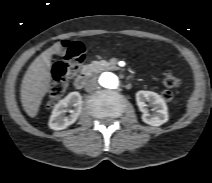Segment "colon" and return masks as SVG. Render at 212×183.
<instances>
[{"mask_svg": "<svg viewBox=\"0 0 212 183\" xmlns=\"http://www.w3.org/2000/svg\"><path fill=\"white\" fill-rule=\"evenodd\" d=\"M61 61L57 62L52 70V82L49 87V104H55L65 94L69 80L77 73L84 59V47L79 42L62 43L60 49ZM182 78L172 70L162 74V84L166 88L161 96L165 101H170L173 94L170 89L179 88Z\"/></svg>", "mask_w": 212, "mask_h": 183, "instance_id": "colon-1", "label": "colon"}]
</instances>
